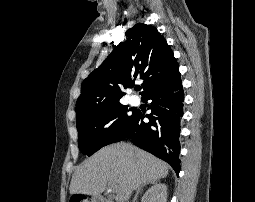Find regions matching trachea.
Segmentation results:
<instances>
[{"instance_id": "obj_1", "label": "trachea", "mask_w": 255, "mask_h": 202, "mask_svg": "<svg viewBox=\"0 0 255 202\" xmlns=\"http://www.w3.org/2000/svg\"><path fill=\"white\" fill-rule=\"evenodd\" d=\"M135 90H136V91L140 90V87H136Z\"/></svg>"}]
</instances>
